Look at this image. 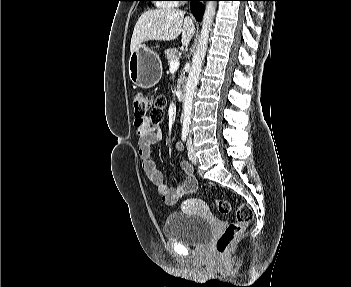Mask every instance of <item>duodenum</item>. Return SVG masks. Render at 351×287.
Masks as SVG:
<instances>
[{
	"instance_id": "1",
	"label": "duodenum",
	"mask_w": 351,
	"mask_h": 287,
	"mask_svg": "<svg viewBox=\"0 0 351 287\" xmlns=\"http://www.w3.org/2000/svg\"><path fill=\"white\" fill-rule=\"evenodd\" d=\"M176 97L179 101H182L184 98V93H183V89L181 87H179L176 91Z\"/></svg>"
}]
</instances>
